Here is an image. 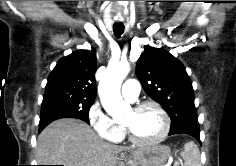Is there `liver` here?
Wrapping results in <instances>:
<instances>
[{
    "mask_svg": "<svg viewBox=\"0 0 236 166\" xmlns=\"http://www.w3.org/2000/svg\"><path fill=\"white\" fill-rule=\"evenodd\" d=\"M130 152L128 164L135 166L141 150L111 145L99 138L83 121L66 118L49 124L38 136V165L117 166L118 154Z\"/></svg>",
    "mask_w": 236,
    "mask_h": 166,
    "instance_id": "obj_1",
    "label": "liver"
}]
</instances>
